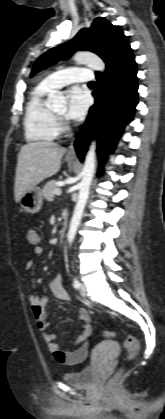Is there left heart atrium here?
<instances>
[{"label": "left heart atrium", "instance_id": "1", "mask_svg": "<svg viewBox=\"0 0 165 419\" xmlns=\"http://www.w3.org/2000/svg\"><path fill=\"white\" fill-rule=\"evenodd\" d=\"M88 103V95L84 90L79 87L72 88L68 95L67 119H81L87 111Z\"/></svg>", "mask_w": 165, "mask_h": 419}]
</instances>
